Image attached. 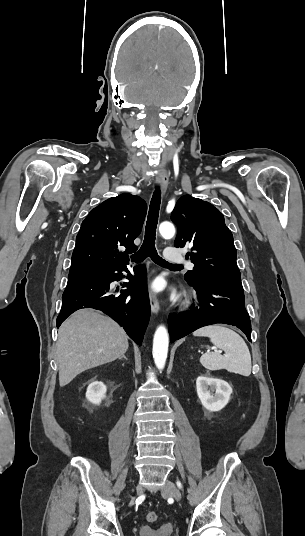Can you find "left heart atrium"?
<instances>
[{
    "label": "left heart atrium",
    "instance_id": "obj_1",
    "mask_svg": "<svg viewBox=\"0 0 305 536\" xmlns=\"http://www.w3.org/2000/svg\"><path fill=\"white\" fill-rule=\"evenodd\" d=\"M154 288H155V289H157V288H158L157 284H155V285H154Z\"/></svg>",
    "mask_w": 305,
    "mask_h": 536
}]
</instances>
